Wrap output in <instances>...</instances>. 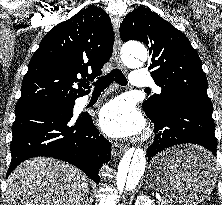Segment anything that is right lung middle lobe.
Returning a JSON list of instances; mask_svg holds the SVG:
<instances>
[{
    "label": "right lung middle lobe",
    "mask_w": 222,
    "mask_h": 205,
    "mask_svg": "<svg viewBox=\"0 0 222 205\" xmlns=\"http://www.w3.org/2000/svg\"><path fill=\"white\" fill-rule=\"evenodd\" d=\"M49 103H55V104H60L64 106H72L74 105L75 101L73 102H66V101H50Z\"/></svg>",
    "instance_id": "obj_1"
}]
</instances>
